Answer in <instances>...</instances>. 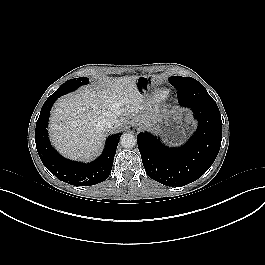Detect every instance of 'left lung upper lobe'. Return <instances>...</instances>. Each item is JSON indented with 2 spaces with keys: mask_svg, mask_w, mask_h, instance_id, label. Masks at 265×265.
<instances>
[{
  "mask_svg": "<svg viewBox=\"0 0 265 265\" xmlns=\"http://www.w3.org/2000/svg\"><path fill=\"white\" fill-rule=\"evenodd\" d=\"M188 80H195V79H193V78H190V77H188V78H186V77H181V76H172V77H170L169 78V82L171 83V84H173V83H179V82H182V81H188ZM209 100H213L211 97H210V95L207 93V96H206Z\"/></svg>",
  "mask_w": 265,
  "mask_h": 265,
  "instance_id": "obj_1",
  "label": "left lung upper lobe"
}]
</instances>
